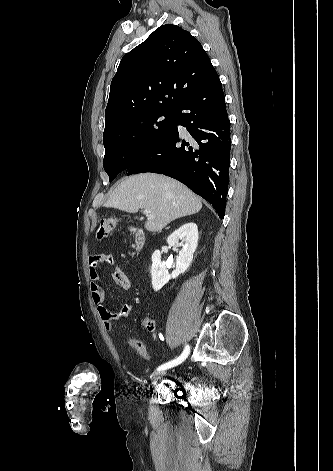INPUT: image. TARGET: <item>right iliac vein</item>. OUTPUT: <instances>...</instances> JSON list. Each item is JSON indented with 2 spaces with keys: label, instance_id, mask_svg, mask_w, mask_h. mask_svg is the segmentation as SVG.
<instances>
[{
  "label": "right iliac vein",
  "instance_id": "obj_1",
  "mask_svg": "<svg viewBox=\"0 0 333 471\" xmlns=\"http://www.w3.org/2000/svg\"><path fill=\"white\" fill-rule=\"evenodd\" d=\"M165 373H166V369H164V370H157L156 372H154V373L152 374V379L155 380V381H156V380H159L162 376L165 375Z\"/></svg>",
  "mask_w": 333,
  "mask_h": 471
}]
</instances>
